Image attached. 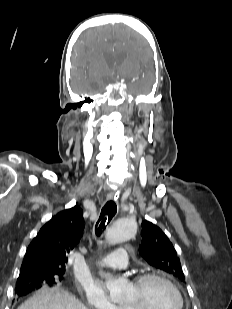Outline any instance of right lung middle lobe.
<instances>
[{
	"label": "right lung middle lobe",
	"instance_id": "1",
	"mask_svg": "<svg viewBox=\"0 0 232 309\" xmlns=\"http://www.w3.org/2000/svg\"><path fill=\"white\" fill-rule=\"evenodd\" d=\"M63 270L20 271L16 287L22 285L53 286L64 279Z\"/></svg>",
	"mask_w": 232,
	"mask_h": 309
}]
</instances>
